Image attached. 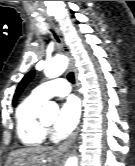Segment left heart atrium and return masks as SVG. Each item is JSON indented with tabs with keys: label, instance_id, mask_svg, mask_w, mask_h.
<instances>
[{
	"label": "left heart atrium",
	"instance_id": "39dd6f15",
	"mask_svg": "<svg viewBox=\"0 0 135 166\" xmlns=\"http://www.w3.org/2000/svg\"><path fill=\"white\" fill-rule=\"evenodd\" d=\"M80 105L77 99L69 98L61 106L54 124L55 131L60 135L70 134L78 124Z\"/></svg>",
	"mask_w": 135,
	"mask_h": 166
}]
</instances>
